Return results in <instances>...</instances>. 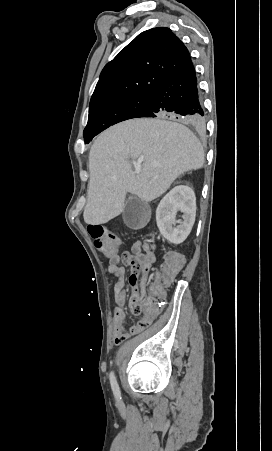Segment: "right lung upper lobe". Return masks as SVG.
Here are the masks:
<instances>
[{
  "mask_svg": "<svg viewBox=\"0 0 272 451\" xmlns=\"http://www.w3.org/2000/svg\"><path fill=\"white\" fill-rule=\"evenodd\" d=\"M191 59L182 41L169 28L139 34L100 74L90 108L127 96H150Z\"/></svg>",
  "mask_w": 272,
  "mask_h": 451,
  "instance_id": "right-lung-upper-lobe-1",
  "label": "right lung upper lobe"
}]
</instances>
